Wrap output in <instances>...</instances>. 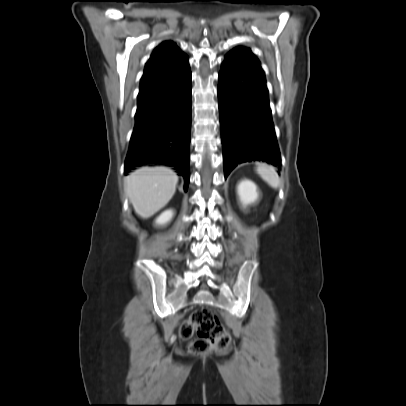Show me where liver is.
<instances>
[{
	"mask_svg": "<svg viewBox=\"0 0 406 406\" xmlns=\"http://www.w3.org/2000/svg\"><path fill=\"white\" fill-rule=\"evenodd\" d=\"M177 183L178 176L170 168L142 167L125 179V190L136 214L147 219L171 200Z\"/></svg>",
	"mask_w": 406,
	"mask_h": 406,
	"instance_id": "obj_1",
	"label": "liver"
}]
</instances>
